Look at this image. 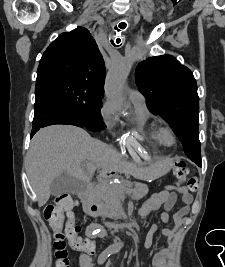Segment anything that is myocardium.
Listing matches in <instances>:
<instances>
[{"label": "myocardium", "instance_id": "obj_1", "mask_svg": "<svg viewBox=\"0 0 225 267\" xmlns=\"http://www.w3.org/2000/svg\"><path fill=\"white\" fill-rule=\"evenodd\" d=\"M159 137L161 143L166 146H173L177 141L176 133L169 125L159 127Z\"/></svg>", "mask_w": 225, "mask_h": 267}]
</instances>
